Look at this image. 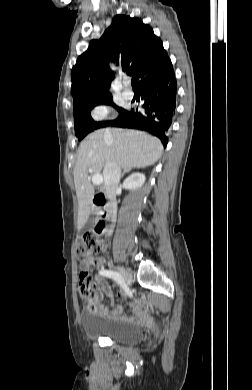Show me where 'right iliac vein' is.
Listing matches in <instances>:
<instances>
[{"label":"right iliac vein","mask_w":252,"mask_h":390,"mask_svg":"<svg viewBox=\"0 0 252 390\" xmlns=\"http://www.w3.org/2000/svg\"><path fill=\"white\" fill-rule=\"evenodd\" d=\"M117 269L122 274V276L125 277V282L127 283V285H130L132 283V275L130 274V272L123 267H118Z\"/></svg>","instance_id":"right-iliac-vein-1"}]
</instances>
